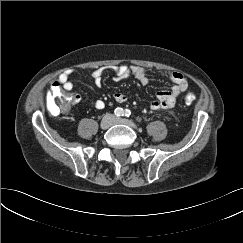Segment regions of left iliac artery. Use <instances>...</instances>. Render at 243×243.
I'll return each mask as SVG.
<instances>
[{
	"mask_svg": "<svg viewBox=\"0 0 243 243\" xmlns=\"http://www.w3.org/2000/svg\"><path fill=\"white\" fill-rule=\"evenodd\" d=\"M124 115H125L126 117H129V116L131 115V111H130L129 109H126V110L124 111Z\"/></svg>",
	"mask_w": 243,
	"mask_h": 243,
	"instance_id": "1",
	"label": "left iliac artery"
}]
</instances>
